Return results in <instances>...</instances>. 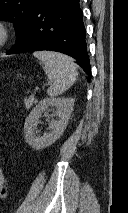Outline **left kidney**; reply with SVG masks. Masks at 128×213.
<instances>
[{"label":"left kidney","mask_w":128,"mask_h":213,"mask_svg":"<svg viewBox=\"0 0 128 213\" xmlns=\"http://www.w3.org/2000/svg\"><path fill=\"white\" fill-rule=\"evenodd\" d=\"M50 106L56 107V115L59 120L51 121V132L45 133L43 136H36L34 132L39 123V118ZM73 106L74 99L72 98H46L41 100L25 120L24 135L26 142L35 150H41L53 144L67 127Z\"/></svg>","instance_id":"left-kidney-1"}]
</instances>
